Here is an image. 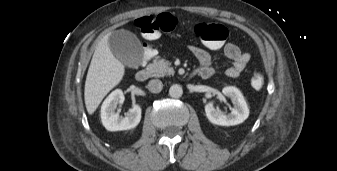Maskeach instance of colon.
Here are the masks:
<instances>
[{"instance_id": "5ec220e1", "label": "colon", "mask_w": 337, "mask_h": 171, "mask_svg": "<svg viewBox=\"0 0 337 171\" xmlns=\"http://www.w3.org/2000/svg\"><path fill=\"white\" fill-rule=\"evenodd\" d=\"M178 25L175 16L163 13L156 16H143L136 20V26L141 33L149 38H155L161 33L174 30ZM194 34L199 38V43L204 48L221 49L226 44L228 32L225 26L200 22L194 27ZM156 56V51L152 47H147L140 55V60L144 64H149ZM263 73L256 69L251 77V84L255 89H260L264 85Z\"/></svg>"}]
</instances>
